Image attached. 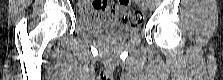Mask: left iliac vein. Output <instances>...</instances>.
Returning <instances> with one entry per match:
<instances>
[{"label": "left iliac vein", "mask_w": 223, "mask_h": 80, "mask_svg": "<svg viewBox=\"0 0 223 80\" xmlns=\"http://www.w3.org/2000/svg\"><path fill=\"white\" fill-rule=\"evenodd\" d=\"M140 7H141V9H142L143 11L146 10V2H145L144 0L141 1V3H140Z\"/></svg>", "instance_id": "obj_1"}]
</instances>
